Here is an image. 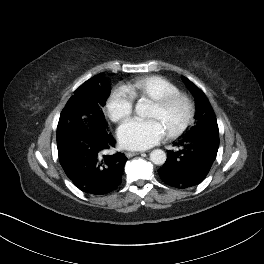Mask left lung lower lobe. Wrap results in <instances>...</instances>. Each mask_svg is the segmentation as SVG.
Here are the masks:
<instances>
[{"label":"left lung lower lobe","mask_w":264,"mask_h":264,"mask_svg":"<svg viewBox=\"0 0 264 264\" xmlns=\"http://www.w3.org/2000/svg\"><path fill=\"white\" fill-rule=\"evenodd\" d=\"M167 151V160L158 170L160 178L172 187L185 189L202 182L207 176L219 147V133L212 131L187 135Z\"/></svg>","instance_id":"1"}]
</instances>
